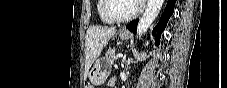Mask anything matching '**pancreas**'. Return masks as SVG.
<instances>
[{
    "mask_svg": "<svg viewBox=\"0 0 227 88\" xmlns=\"http://www.w3.org/2000/svg\"><path fill=\"white\" fill-rule=\"evenodd\" d=\"M116 59H118L116 57V50L115 49H108V51L106 52V60L109 63L113 64Z\"/></svg>",
    "mask_w": 227,
    "mask_h": 88,
    "instance_id": "pancreas-1",
    "label": "pancreas"
}]
</instances>
